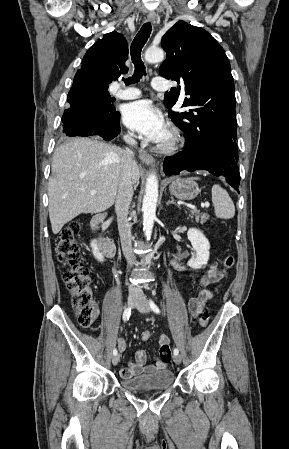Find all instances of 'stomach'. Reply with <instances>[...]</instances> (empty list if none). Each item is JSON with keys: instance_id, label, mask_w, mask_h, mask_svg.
Segmentation results:
<instances>
[{"instance_id": "obj_1", "label": "stomach", "mask_w": 289, "mask_h": 449, "mask_svg": "<svg viewBox=\"0 0 289 449\" xmlns=\"http://www.w3.org/2000/svg\"><path fill=\"white\" fill-rule=\"evenodd\" d=\"M170 193L181 200H192L199 193L196 182L188 178H176L169 186Z\"/></svg>"}]
</instances>
